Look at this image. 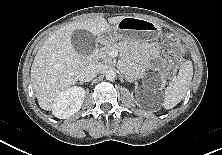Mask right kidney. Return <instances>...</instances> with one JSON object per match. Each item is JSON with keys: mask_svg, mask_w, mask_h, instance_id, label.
I'll return each instance as SVG.
<instances>
[{"mask_svg": "<svg viewBox=\"0 0 222 155\" xmlns=\"http://www.w3.org/2000/svg\"><path fill=\"white\" fill-rule=\"evenodd\" d=\"M85 89L71 87L61 92L52 105V113L60 119H66L78 112L83 104Z\"/></svg>", "mask_w": 222, "mask_h": 155, "instance_id": "obj_1", "label": "right kidney"}]
</instances>
